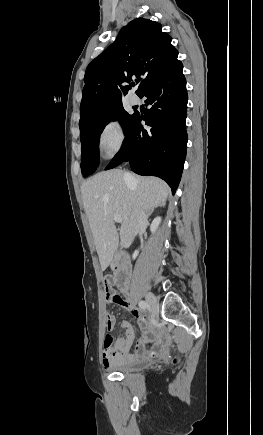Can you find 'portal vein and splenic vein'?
I'll return each instance as SVG.
<instances>
[{
    "mask_svg": "<svg viewBox=\"0 0 263 435\" xmlns=\"http://www.w3.org/2000/svg\"><path fill=\"white\" fill-rule=\"evenodd\" d=\"M114 221L117 223H121L122 222V218L119 215H115L114 216Z\"/></svg>",
    "mask_w": 263,
    "mask_h": 435,
    "instance_id": "1",
    "label": "portal vein and splenic vein"
}]
</instances>
